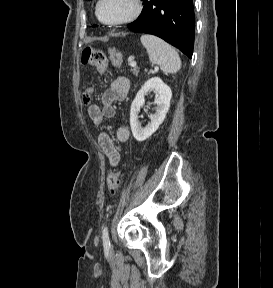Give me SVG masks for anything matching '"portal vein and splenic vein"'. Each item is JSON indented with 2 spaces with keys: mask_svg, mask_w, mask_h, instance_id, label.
<instances>
[{
  "mask_svg": "<svg viewBox=\"0 0 273 288\" xmlns=\"http://www.w3.org/2000/svg\"><path fill=\"white\" fill-rule=\"evenodd\" d=\"M130 65H131V67H136L137 64H136L135 61H133V62L130 63Z\"/></svg>",
  "mask_w": 273,
  "mask_h": 288,
  "instance_id": "obj_1",
  "label": "portal vein and splenic vein"
}]
</instances>
